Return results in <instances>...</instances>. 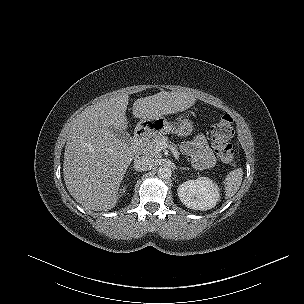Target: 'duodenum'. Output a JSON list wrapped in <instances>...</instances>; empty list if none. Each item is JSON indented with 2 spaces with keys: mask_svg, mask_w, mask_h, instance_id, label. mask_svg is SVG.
<instances>
[{
  "mask_svg": "<svg viewBox=\"0 0 304 304\" xmlns=\"http://www.w3.org/2000/svg\"><path fill=\"white\" fill-rule=\"evenodd\" d=\"M146 139V133L142 130L137 129L133 135L132 149L138 151L144 144Z\"/></svg>",
  "mask_w": 304,
  "mask_h": 304,
  "instance_id": "1",
  "label": "duodenum"
}]
</instances>
